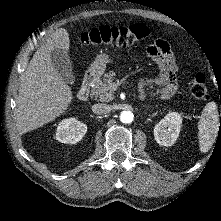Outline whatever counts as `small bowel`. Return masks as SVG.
<instances>
[{
    "instance_id": "1",
    "label": "small bowel",
    "mask_w": 221,
    "mask_h": 221,
    "mask_svg": "<svg viewBox=\"0 0 221 221\" xmlns=\"http://www.w3.org/2000/svg\"><path fill=\"white\" fill-rule=\"evenodd\" d=\"M147 53L159 69V76L152 83L160 87L162 97L172 96L177 88V66L169 44L163 39H158L147 47ZM150 83L148 80H142L141 89Z\"/></svg>"
}]
</instances>
